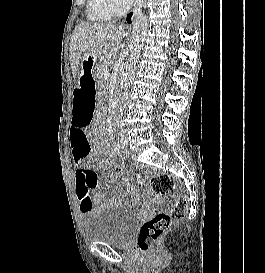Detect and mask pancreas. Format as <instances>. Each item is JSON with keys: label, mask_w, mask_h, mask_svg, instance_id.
I'll list each match as a JSON object with an SVG mask.
<instances>
[{"label": "pancreas", "mask_w": 265, "mask_h": 273, "mask_svg": "<svg viewBox=\"0 0 265 273\" xmlns=\"http://www.w3.org/2000/svg\"><path fill=\"white\" fill-rule=\"evenodd\" d=\"M115 59L114 53H109L106 58H104L101 63L98 65L97 71H96V78L100 82H104L105 73L106 71L111 67Z\"/></svg>", "instance_id": "obj_1"}]
</instances>
